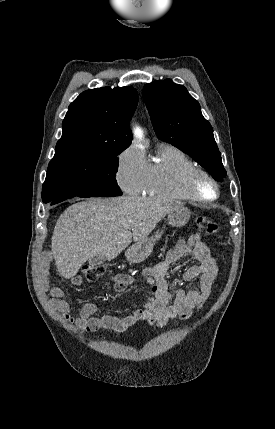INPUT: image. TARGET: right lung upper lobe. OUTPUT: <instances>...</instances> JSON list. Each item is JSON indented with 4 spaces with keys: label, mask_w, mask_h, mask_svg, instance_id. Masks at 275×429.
<instances>
[{
    "label": "right lung upper lobe",
    "mask_w": 275,
    "mask_h": 429,
    "mask_svg": "<svg viewBox=\"0 0 275 429\" xmlns=\"http://www.w3.org/2000/svg\"><path fill=\"white\" fill-rule=\"evenodd\" d=\"M138 102L132 87H103L82 92L69 106L55 154L118 151L132 140L129 121Z\"/></svg>",
    "instance_id": "right-lung-upper-lobe-1"
}]
</instances>
